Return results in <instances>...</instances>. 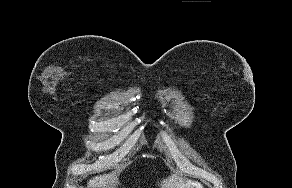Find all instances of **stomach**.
Listing matches in <instances>:
<instances>
[{"label":"stomach","mask_w":292,"mask_h":188,"mask_svg":"<svg viewBox=\"0 0 292 188\" xmlns=\"http://www.w3.org/2000/svg\"><path fill=\"white\" fill-rule=\"evenodd\" d=\"M180 188H205V187L204 184H202L199 181L187 179L181 184Z\"/></svg>","instance_id":"1"}]
</instances>
